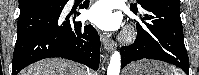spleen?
<instances>
[{
	"label": "spleen",
	"instance_id": "1",
	"mask_svg": "<svg viewBox=\"0 0 199 75\" xmlns=\"http://www.w3.org/2000/svg\"><path fill=\"white\" fill-rule=\"evenodd\" d=\"M174 75H182L180 71L176 68H173Z\"/></svg>",
	"mask_w": 199,
	"mask_h": 75
}]
</instances>
